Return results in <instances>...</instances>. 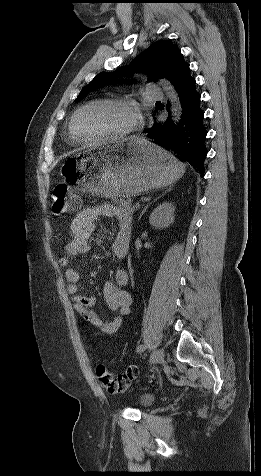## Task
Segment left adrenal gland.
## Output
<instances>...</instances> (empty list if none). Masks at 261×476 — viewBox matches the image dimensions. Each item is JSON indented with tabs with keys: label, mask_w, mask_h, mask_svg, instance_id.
Returning <instances> with one entry per match:
<instances>
[{
	"label": "left adrenal gland",
	"mask_w": 261,
	"mask_h": 476,
	"mask_svg": "<svg viewBox=\"0 0 261 476\" xmlns=\"http://www.w3.org/2000/svg\"><path fill=\"white\" fill-rule=\"evenodd\" d=\"M171 190V188H169L166 192H169ZM166 192L164 194H166ZM164 194L160 195L158 198H156L154 201H156L157 199H159L161 196H163ZM152 204V202L148 203L144 209L142 210V212L140 213V216H139V220L141 219L142 215L146 212L147 208Z\"/></svg>",
	"instance_id": "obj_1"
}]
</instances>
